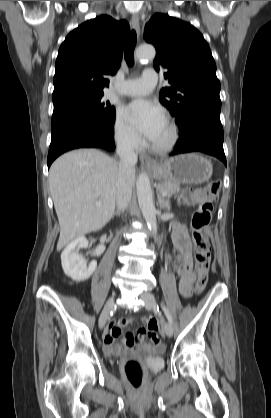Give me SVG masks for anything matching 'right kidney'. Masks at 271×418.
<instances>
[{"mask_svg":"<svg viewBox=\"0 0 271 418\" xmlns=\"http://www.w3.org/2000/svg\"><path fill=\"white\" fill-rule=\"evenodd\" d=\"M88 243L84 236L78 237L71 241L61 254L64 273L74 281L87 280L97 267L95 261L87 266L86 259L77 252L80 248L88 247Z\"/></svg>","mask_w":271,"mask_h":418,"instance_id":"right-kidney-1","label":"right kidney"}]
</instances>
